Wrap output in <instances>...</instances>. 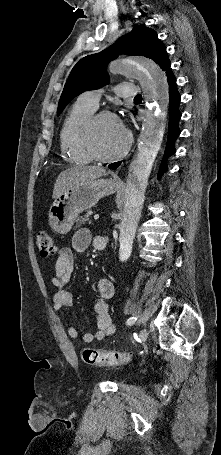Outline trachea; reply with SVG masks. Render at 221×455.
I'll use <instances>...</instances> for the list:
<instances>
[{
  "instance_id": "obj_1",
  "label": "trachea",
  "mask_w": 221,
  "mask_h": 455,
  "mask_svg": "<svg viewBox=\"0 0 221 455\" xmlns=\"http://www.w3.org/2000/svg\"><path fill=\"white\" fill-rule=\"evenodd\" d=\"M135 98H142L140 94L136 95Z\"/></svg>"
}]
</instances>
